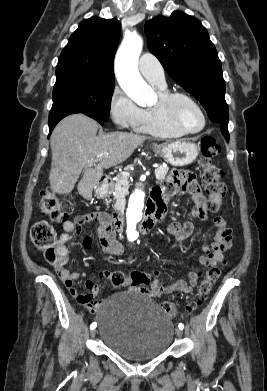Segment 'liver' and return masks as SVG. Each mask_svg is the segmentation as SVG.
Returning a JSON list of instances; mask_svg holds the SVG:
<instances>
[{"mask_svg": "<svg viewBox=\"0 0 267 391\" xmlns=\"http://www.w3.org/2000/svg\"><path fill=\"white\" fill-rule=\"evenodd\" d=\"M98 127L94 119L80 113L67 116L57 124L50 139L52 162L49 181L53 191L70 193L87 163L108 154L94 167L87 166L78 183L79 194L91 199L93 188L103 176V169L124 162L148 139L147 136L127 132L97 136Z\"/></svg>", "mask_w": 267, "mask_h": 391, "instance_id": "1", "label": "liver"}]
</instances>
